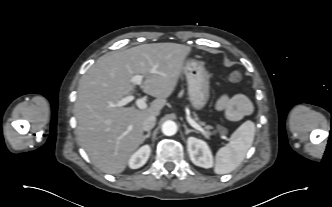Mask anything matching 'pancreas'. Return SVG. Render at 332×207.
<instances>
[{"instance_id":"obj_1","label":"pancreas","mask_w":332,"mask_h":207,"mask_svg":"<svg viewBox=\"0 0 332 207\" xmlns=\"http://www.w3.org/2000/svg\"><path fill=\"white\" fill-rule=\"evenodd\" d=\"M196 119H197V118H196ZM202 124H204V123H202ZM206 128L209 130V129H211L212 127H211V126H206ZM205 136L208 137V133H206Z\"/></svg>"}]
</instances>
